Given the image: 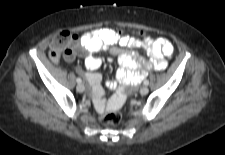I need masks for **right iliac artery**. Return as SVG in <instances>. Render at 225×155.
Returning a JSON list of instances; mask_svg holds the SVG:
<instances>
[{"label":"right iliac artery","instance_id":"obj_1","mask_svg":"<svg viewBox=\"0 0 225 155\" xmlns=\"http://www.w3.org/2000/svg\"><path fill=\"white\" fill-rule=\"evenodd\" d=\"M76 81H77V83H81L82 82L81 78H77Z\"/></svg>","mask_w":225,"mask_h":155}]
</instances>
